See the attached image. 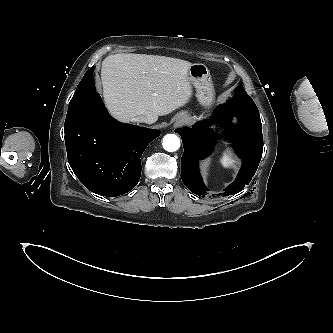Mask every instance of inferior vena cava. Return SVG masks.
Listing matches in <instances>:
<instances>
[{
    "label": "inferior vena cava",
    "instance_id": "1",
    "mask_svg": "<svg viewBox=\"0 0 333 333\" xmlns=\"http://www.w3.org/2000/svg\"><path fill=\"white\" fill-rule=\"evenodd\" d=\"M135 122H145V123H148L149 122V119L146 117V116H143V115H139L137 117H135L133 119Z\"/></svg>",
    "mask_w": 333,
    "mask_h": 333
}]
</instances>
